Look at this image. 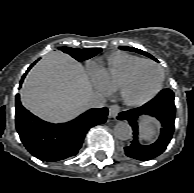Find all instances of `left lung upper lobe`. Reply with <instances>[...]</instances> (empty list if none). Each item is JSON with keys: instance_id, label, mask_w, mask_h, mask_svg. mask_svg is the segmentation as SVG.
I'll return each instance as SVG.
<instances>
[{"instance_id": "1", "label": "left lung upper lobe", "mask_w": 194, "mask_h": 193, "mask_svg": "<svg viewBox=\"0 0 194 193\" xmlns=\"http://www.w3.org/2000/svg\"><path fill=\"white\" fill-rule=\"evenodd\" d=\"M120 48L123 49V50H127V51H132V52H137V53L143 54V55L148 56V57L152 58L153 60L157 61L152 55H150V54H148V53H146V52H144V51H142L140 49H136V48H133V47H125V46L120 47Z\"/></svg>"}]
</instances>
